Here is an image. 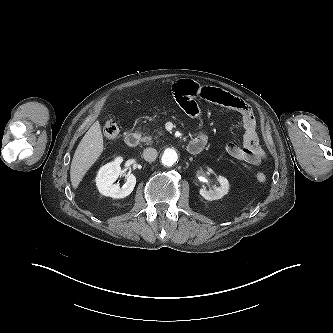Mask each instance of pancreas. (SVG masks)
<instances>
[{
    "label": "pancreas",
    "mask_w": 333,
    "mask_h": 333,
    "mask_svg": "<svg viewBox=\"0 0 333 333\" xmlns=\"http://www.w3.org/2000/svg\"><path fill=\"white\" fill-rule=\"evenodd\" d=\"M143 142H146L147 145H151L153 143V137L152 136H145L142 138Z\"/></svg>",
    "instance_id": "pancreas-1"
}]
</instances>
